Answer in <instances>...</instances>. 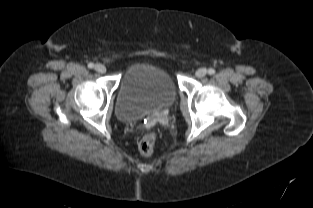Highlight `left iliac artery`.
<instances>
[{
	"label": "left iliac artery",
	"instance_id": "left-iliac-artery-1",
	"mask_svg": "<svg viewBox=\"0 0 313 208\" xmlns=\"http://www.w3.org/2000/svg\"><path fill=\"white\" fill-rule=\"evenodd\" d=\"M208 73L210 75H213L215 73V70L213 68H209Z\"/></svg>",
	"mask_w": 313,
	"mask_h": 208
}]
</instances>
